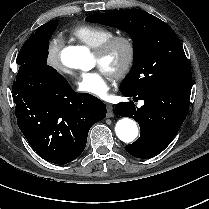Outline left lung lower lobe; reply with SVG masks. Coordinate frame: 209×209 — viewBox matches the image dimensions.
Wrapping results in <instances>:
<instances>
[{"instance_id":"obj_1","label":"left lung lower lobe","mask_w":209,"mask_h":209,"mask_svg":"<svg viewBox=\"0 0 209 209\" xmlns=\"http://www.w3.org/2000/svg\"><path fill=\"white\" fill-rule=\"evenodd\" d=\"M192 83L157 84L139 92L120 90L126 97L144 100L141 108L121 102L115 112L138 121L140 137L125 150L134 157L148 159L160 154L175 138L188 110Z\"/></svg>"}]
</instances>
